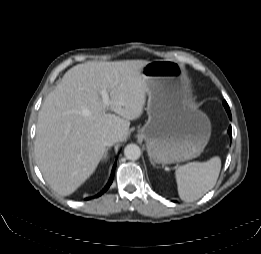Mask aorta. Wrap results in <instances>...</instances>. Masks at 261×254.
I'll list each match as a JSON object with an SVG mask.
<instances>
[{
	"mask_svg": "<svg viewBox=\"0 0 261 254\" xmlns=\"http://www.w3.org/2000/svg\"><path fill=\"white\" fill-rule=\"evenodd\" d=\"M124 155L128 160H137L141 156V149L136 144H128L124 149Z\"/></svg>",
	"mask_w": 261,
	"mask_h": 254,
	"instance_id": "1",
	"label": "aorta"
}]
</instances>
